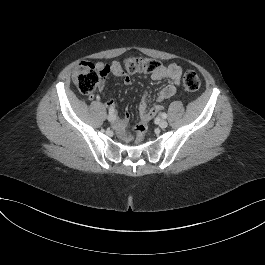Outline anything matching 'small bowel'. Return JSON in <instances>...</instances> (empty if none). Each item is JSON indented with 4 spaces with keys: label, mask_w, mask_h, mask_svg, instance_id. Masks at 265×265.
<instances>
[{
    "label": "small bowel",
    "mask_w": 265,
    "mask_h": 265,
    "mask_svg": "<svg viewBox=\"0 0 265 265\" xmlns=\"http://www.w3.org/2000/svg\"><path fill=\"white\" fill-rule=\"evenodd\" d=\"M97 70L100 72L99 80V92H104L106 88V78L111 74L114 77L123 79L124 83L130 85L132 83L131 77L126 74L122 68V65L118 61L112 62L110 65L102 62L96 64ZM182 68L176 64L171 63L165 66H161L158 70L152 73L151 77L153 80L168 79L170 82L164 86L158 94V101H162L171 98L178 91L181 84ZM90 100L99 99L98 94H92L89 97ZM106 106L109 110L115 112L116 106L112 100H108ZM147 106V94L144 93L139 105V110L143 113ZM116 120V119H115ZM129 122V113L126 112L123 117L116 120V127L124 129Z\"/></svg>",
    "instance_id": "1"
}]
</instances>
